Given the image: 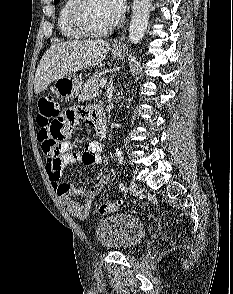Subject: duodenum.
Returning a JSON list of instances; mask_svg holds the SVG:
<instances>
[{
    "instance_id": "duodenum-1",
    "label": "duodenum",
    "mask_w": 233,
    "mask_h": 294,
    "mask_svg": "<svg viewBox=\"0 0 233 294\" xmlns=\"http://www.w3.org/2000/svg\"><path fill=\"white\" fill-rule=\"evenodd\" d=\"M96 133L100 138L106 135L105 117L100 109L96 110Z\"/></svg>"
}]
</instances>
